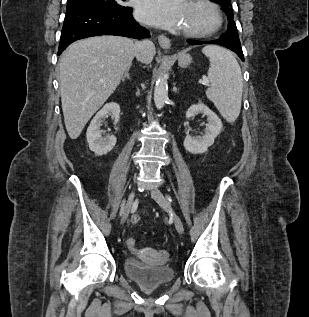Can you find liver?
I'll return each instance as SVG.
<instances>
[{
    "label": "liver",
    "mask_w": 309,
    "mask_h": 317,
    "mask_svg": "<svg viewBox=\"0 0 309 317\" xmlns=\"http://www.w3.org/2000/svg\"><path fill=\"white\" fill-rule=\"evenodd\" d=\"M136 43V42H135ZM133 40L97 36L72 43L59 60V81L66 130L76 139L94 113L118 87L135 53ZM138 60L149 64L156 53L151 41L139 42Z\"/></svg>",
    "instance_id": "liver-1"
}]
</instances>
